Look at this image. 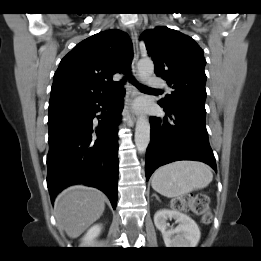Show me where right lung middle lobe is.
<instances>
[{"label":"right lung middle lobe","mask_w":261,"mask_h":261,"mask_svg":"<svg viewBox=\"0 0 261 261\" xmlns=\"http://www.w3.org/2000/svg\"><path fill=\"white\" fill-rule=\"evenodd\" d=\"M61 105H64V104H61ZM61 105H54V106L49 105V109L56 108V107L61 106Z\"/></svg>","instance_id":"dd1d6c3e"}]
</instances>
